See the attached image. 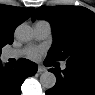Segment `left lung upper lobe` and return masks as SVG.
Instances as JSON below:
<instances>
[{
  "instance_id": "1",
  "label": "left lung upper lobe",
  "mask_w": 95,
  "mask_h": 95,
  "mask_svg": "<svg viewBox=\"0 0 95 95\" xmlns=\"http://www.w3.org/2000/svg\"><path fill=\"white\" fill-rule=\"evenodd\" d=\"M46 19L53 29L54 42L47 58L51 61L95 66V14L79 6L37 8L32 16Z\"/></svg>"
}]
</instances>
